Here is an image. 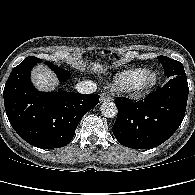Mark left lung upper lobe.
Here are the masks:
<instances>
[{"label": "left lung upper lobe", "instance_id": "obj_1", "mask_svg": "<svg viewBox=\"0 0 195 195\" xmlns=\"http://www.w3.org/2000/svg\"><path fill=\"white\" fill-rule=\"evenodd\" d=\"M158 60L161 62L164 68V74L167 76V78H171L177 75H186L181 62L166 56H159Z\"/></svg>", "mask_w": 195, "mask_h": 195}]
</instances>
